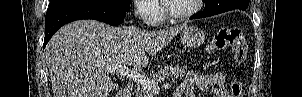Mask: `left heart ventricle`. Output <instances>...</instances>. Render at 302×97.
Segmentation results:
<instances>
[{
  "label": "left heart ventricle",
  "instance_id": "b2bd125f",
  "mask_svg": "<svg viewBox=\"0 0 302 97\" xmlns=\"http://www.w3.org/2000/svg\"><path fill=\"white\" fill-rule=\"evenodd\" d=\"M170 7L174 13H183L195 5V0H169Z\"/></svg>",
  "mask_w": 302,
  "mask_h": 97
}]
</instances>
